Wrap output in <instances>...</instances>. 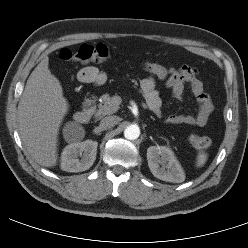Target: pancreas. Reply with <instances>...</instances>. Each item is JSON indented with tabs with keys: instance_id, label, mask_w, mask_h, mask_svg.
<instances>
[{
	"instance_id": "1",
	"label": "pancreas",
	"mask_w": 248,
	"mask_h": 248,
	"mask_svg": "<svg viewBox=\"0 0 248 248\" xmlns=\"http://www.w3.org/2000/svg\"><path fill=\"white\" fill-rule=\"evenodd\" d=\"M101 102L98 105V109L95 112L97 118H101L106 115H111L118 111L119 106L115 104L109 94L101 96Z\"/></svg>"
}]
</instances>
